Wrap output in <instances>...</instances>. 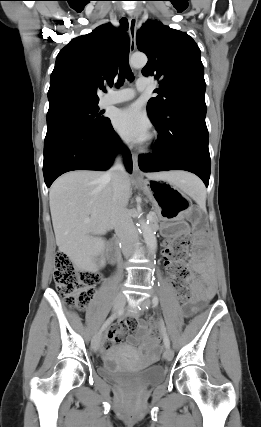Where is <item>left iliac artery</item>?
<instances>
[{
  "label": "left iliac artery",
  "instance_id": "1",
  "mask_svg": "<svg viewBox=\"0 0 261 427\" xmlns=\"http://www.w3.org/2000/svg\"><path fill=\"white\" fill-rule=\"evenodd\" d=\"M152 303H153V306H154V307H156V306L158 305L159 300H158L157 296H153V298H152ZM147 308H148V307H147ZM161 325H162V331H163V341H164V345L166 346V348H169V347H170V340H169V338H168V335H167V332H166V328L164 327L163 322H161Z\"/></svg>",
  "mask_w": 261,
  "mask_h": 427
}]
</instances>
